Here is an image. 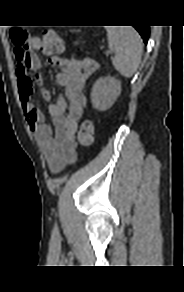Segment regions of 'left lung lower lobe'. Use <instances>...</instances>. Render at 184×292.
<instances>
[{"instance_id":"1","label":"left lung lower lobe","mask_w":184,"mask_h":292,"mask_svg":"<svg viewBox=\"0 0 184 292\" xmlns=\"http://www.w3.org/2000/svg\"><path fill=\"white\" fill-rule=\"evenodd\" d=\"M136 30L140 33L141 37L143 38L145 44L147 43L149 37V26L144 25H136L134 26Z\"/></svg>"}]
</instances>
